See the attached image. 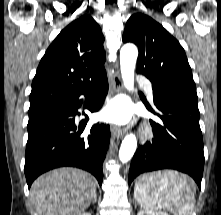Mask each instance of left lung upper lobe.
I'll use <instances>...</instances> for the list:
<instances>
[{
  "instance_id": "1",
  "label": "left lung upper lobe",
  "mask_w": 221,
  "mask_h": 215,
  "mask_svg": "<svg viewBox=\"0 0 221 215\" xmlns=\"http://www.w3.org/2000/svg\"><path fill=\"white\" fill-rule=\"evenodd\" d=\"M123 42L137 45V72L152 82L153 89L176 91L197 100L185 51L161 24L136 13L127 21Z\"/></svg>"
}]
</instances>
